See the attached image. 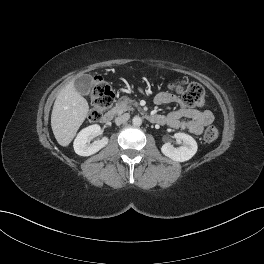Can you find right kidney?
I'll return each mask as SVG.
<instances>
[{"label": "right kidney", "mask_w": 264, "mask_h": 264, "mask_svg": "<svg viewBox=\"0 0 264 264\" xmlns=\"http://www.w3.org/2000/svg\"><path fill=\"white\" fill-rule=\"evenodd\" d=\"M101 127L97 124L82 129L74 140V151L80 156H90L108 144L109 139L103 137L101 140H95L90 143L91 136L100 134Z\"/></svg>", "instance_id": "right-kidney-1"}]
</instances>
